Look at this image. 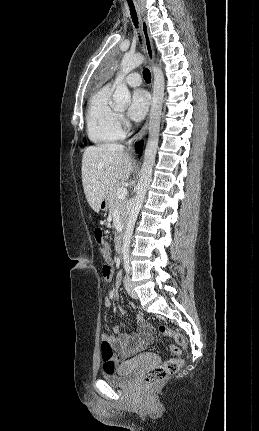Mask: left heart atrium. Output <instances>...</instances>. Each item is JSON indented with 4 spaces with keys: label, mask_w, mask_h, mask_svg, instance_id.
Here are the masks:
<instances>
[{
    "label": "left heart atrium",
    "mask_w": 259,
    "mask_h": 431,
    "mask_svg": "<svg viewBox=\"0 0 259 431\" xmlns=\"http://www.w3.org/2000/svg\"><path fill=\"white\" fill-rule=\"evenodd\" d=\"M150 98L146 91L138 89L132 94L128 108V116L133 121H141L149 108Z\"/></svg>",
    "instance_id": "39dd6f15"
}]
</instances>
